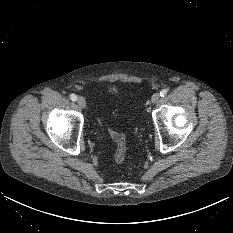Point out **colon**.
Listing matches in <instances>:
<instances>
[{
    "label": "colon",
    "mask_w": 233,
    "mask_h": 233,
    "mask_svg": "<svg viewBox=\"0 0 233 233\" xmlns=\"http://www.w3.org/2000/svg\"><path fill=\"white\" fill-rule=\"evenodd\" d=\"M110 135L116 145L114 159L117 163H122L125 160L127 151L125 137L122 133L115 130H110Z\"/></svg>",
    "instance_id": "obj_1"
}]
</instances>
